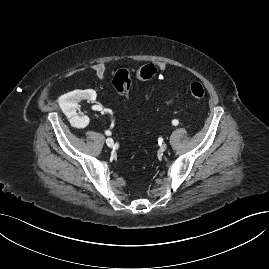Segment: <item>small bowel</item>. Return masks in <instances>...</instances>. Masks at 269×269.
<instances>
[{
    "mask_svg": "<svg viewBox=\"0 0 269 269\" xmlns=\"http://www.w3.org/2000/svg\"><path fill=\"white\" fill-rule=\"evenodd\" d=\"M155 66L159 69L160 71V75H159V79L160 80H165L167 75H168V68L167 65L164 62H156ZM92 70L94 71V73L97 75V77L99 78H104L106 75V68L102 63H95L91 66ZM139 71L140 69H137L134 72V75L138 78L139 75ZM166 103H172L174 100V97H166L165 99Z\"/></svg>",
    "mask_w": 269,
    "mask_h": 269,
    "instance_id": "c3829d8e",
    "label": "small bowel"
}]
</instances>
